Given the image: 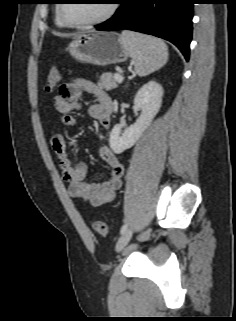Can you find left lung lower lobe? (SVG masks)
Masks as SVG:
<instances>
[{
	"label": "left lung lower lobe",
	"instance_id": "1",
	"mask_svg": "<svg viewBox=\"0 0 236 321\" xmlns=\"http://www.w3.org/2000/svg\"><path fill=\"white\" fill-rule=\"evenodd\" d=\"M194 0H117L121 7L98 30L128 29L172 42L189 60Z\"/></svg>",
	"mask_w": 236,
	"mask_h": 321
}]
</instances>
